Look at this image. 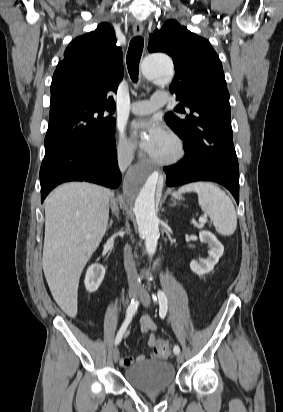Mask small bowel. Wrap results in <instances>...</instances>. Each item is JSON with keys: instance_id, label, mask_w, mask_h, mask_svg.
Returning <instances> with one entry per match:
<instances>
[{"instance_id": "small-bowel-1", "label": "small bowel", "mask_w": 283, "mask_h": 412, "mask_svg": "<svg viewBox=\"0 0 283 412\" xmlns=\"http://www.w3.org/2000/svg\"><path fill=\"white\" fill-rule=\"evenodd\" d=\"M140 325L141 329L145 333H150L149 339H148V345L150 347H153L155 344V337L152 334V332L155 330L156 326L152 319L150 318L149 315L145 314L140 318ZM125 336L128 334V332L125 330L124 331ZM146 359L144 355H138L136 357H123L120 359V365L121 366H130L134 363H141Z\"/></svg>"}]
</instances>
